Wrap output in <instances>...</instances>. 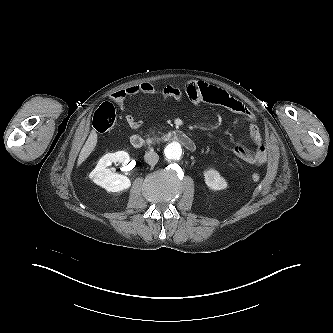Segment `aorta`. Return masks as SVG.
Returning <instances> with one entry per match:
<instances>
[{
	"label": "aorta",
	"instance_id": "1",
	"mask_svg": "<svg viewBox=\"0 0 333 333\" xmlns=\"http://www.w3.org/2000/svg\"><path fill=\"white\" fill-rule=\"evenodd\" d=\"M165 156L169 160H180L182 157V147L180 143L178 142H171L169 143L165 150H164Z\"/></svg>",
	"mask_w": 333,
	"mask_h": 333
}]
</instances>
